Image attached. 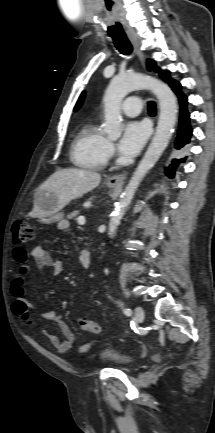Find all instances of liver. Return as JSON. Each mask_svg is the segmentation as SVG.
Returning <instances> with one entry per match:
<instances>
[{"instance_id": "6515ba94", "label": "liver", "mask_w": 215, "mask_h": 433, "mask_svg": "<svg viewBox=\"0 0 215 433\" xmlns=\"http://www.w3.org/2000/svg\"><path fill=\"white\" fill-rule=\"evenodd\" d=\"M100 182L101 175L99 173L78 168H67L57 170L40 185L39 189L54 193L57 207L62 209L71 200L80 198L97 187ZM30 215L37 218L43 215L36 203H34V209Z\"/></svg>"}]
</instances>
